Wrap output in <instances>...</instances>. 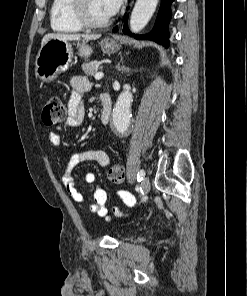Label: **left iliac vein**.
<instances>
[{"mask_svg":"<svg viewBox=\"0 0 247 296\" xmlns=\"http://www.w3.org/2000/svg\"><path fill=\"white\" fill-rule=\"evenodd\" d=\"M141 189L143 190L144 194H147L150 190V181L147 177H145L141 182Z\"/></svg>","mask_w":247,"mask_h":296,"instance_id":"1","label":"left iliac vein"}]
</instances>
